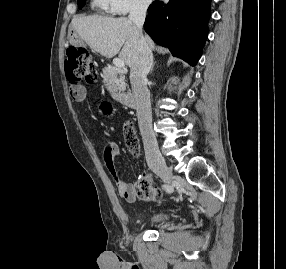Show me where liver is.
Returning <instances> with one entry per match:
<instances>
[{"label": "liver", "mask_w": 286, "mask_h": 269, "mask_svg": "<svg viewBox=\"0 0 286 269\" xmlns=\"http://www.w3.org/2000/svg\"><path fill=\"white\" fill-rule=\"evenodd\" d=\"M71 26L91 49L102 56L112 58L119 54L128 67L136 66L140 57L139 34L129 19L99 15L74 17ZM143 39L150 50L154 49L149 36H143Z\"/></svg>", "instance_id": "1"}]
</instances>
